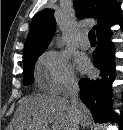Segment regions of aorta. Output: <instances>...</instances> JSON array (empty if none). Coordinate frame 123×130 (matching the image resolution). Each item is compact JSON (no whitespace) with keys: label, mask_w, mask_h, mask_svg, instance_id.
<instances>
[{"label":"aorta","mask_w":123,"mask_h":130,"mask_svg":"<svg viewBox=\"0 0 123 130\" xmlns=\"http://www.w3.org/2000/svg\"><path fill=\"white\" fill-rule=\"evenodd\" d=\"M56 40H57V43H58V44H61V43H62V38H61L60 36H57Z\"/></svg>","instance_id":"1"}]
</instances>
